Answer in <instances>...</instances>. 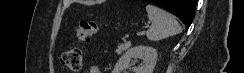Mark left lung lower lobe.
<instances>
[{
    "mask_svg": "<svg viewBox=\"0 0 244 73\" xmlns=\"http://www.w3.org/2000/svg\"><path fill=\"white\" fill-rule=\"evenodd\" d=\"M176 15L189 28L194 17L196 0H147Z\"/></svg>",
    "mask_w": 244,
    "mask_h": 73,
    "instance_id": "left-lung-lower-lobe-1",
    "label": "left lung lower lobe"
}]
</instances>
